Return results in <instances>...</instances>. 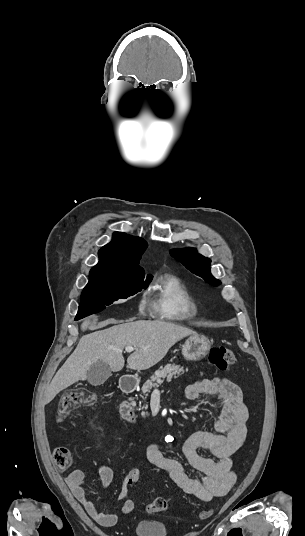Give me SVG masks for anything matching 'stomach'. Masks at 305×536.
<instances>
[{
    "mask_svg": "<svg viewBox=\"0 0 305 536\" xmlns=\"http://www.w3.org/2000/svg\"><path fill=\"white\" fill-rule=\"evenodd\" d=\"M211 348V342H209L206 336H190L182 346V354L185 360H202L207 354H209ZM139 384V378H134V386Z\"/></svg>",
    "mask_w": 305,
    "mask_h": 536,
    "instance_id": "1",
    "label": "stomach"
}]
</instances>
